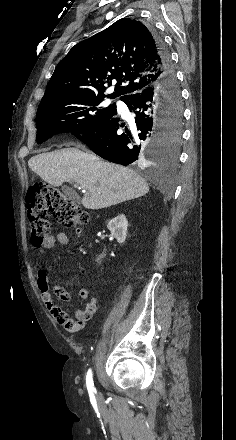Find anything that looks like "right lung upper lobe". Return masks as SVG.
Here are the masks:
<instances>
[{"label":"right lung upper lobe","instance_id":"right-lung-upper-lobe-1","mask_svg":"<svg viewBox=\"0 0 236 440\" xmlns=\"http://www.w3.org/2000/svg\"><path fill=\"white\" fill-rule=\"evenodd\" d=\"M161 75L151 31L140 21L122 18L69 51L56 66L41 102L71 95L104 98L112 82L116 92L107 97L123 94V99L154 84Z\"/></svg>","mask_w":236,"mask_h":440}]
</instances>
